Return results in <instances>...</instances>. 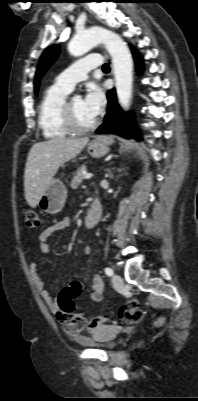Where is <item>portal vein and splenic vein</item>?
<instances>
[{
	"label": "portal vein and splenic vein",
	"mask_w": 198,
	"mask_h": 401,
	"mask_svg": "<svg viewBox=\"0 0 198 401\" xmlns=\"http://www.w3.org/2000/svg\"><path fill=\"white\" fill-rule=\"evenodd\" d=\"M93 177V174H85L84 178L85 179H91Z\"/></svg>",
	"instance_id": "portal-vein-and-splenic-vein-1"
}]
</instances>
